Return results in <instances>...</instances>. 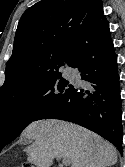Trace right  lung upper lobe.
Returning <instances> with one entry per match:
<instances>
[{"label":"right lung upper lobe","instance_id":"right-lung-upper-lobe-1","mask_svg":"<svg viewBox=\"0 0 125 167\" xmlns=\"http://www.w3.org/2000/svg\"><path fill=\"white\" fill-rule=\"evenodd\" d=\"M107 28L102 0H41L22 15L6 65L0 100L75 68L83 51Z\"/></svg>","mask_w":125,"mask_h":167}]
</instances>
